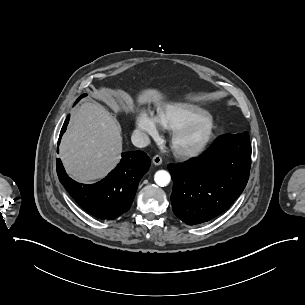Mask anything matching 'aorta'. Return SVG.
I'll use <instances>...</instances> for the list:
<instances>
[{
  "label": "aorta",
  "mask_w": 305,
  "mask_h": 305,
  "mask_svg": "<svg viewBox=\"0 0 305 305\" xmlns=\"http://www.w3.org/2000/svg\"><path fill=\"white\" fill-rule=\"evenodd\" d=\"M154 180L158 186L164 187L170 183L171 176H170L169 172H167L165 170H159L155 173Z\"/></svg>",
  "instance_id": "762f6f07"
}]
</instances>
